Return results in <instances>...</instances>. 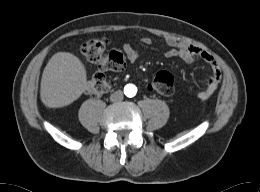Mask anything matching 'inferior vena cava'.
Instances as JSON below:
<instances>
[{
  "mask_svg": "<svg viewBox=\"0 0 260 192\" xmlns=\"http://www.w3.org/2000/svg\"><path fill=\"white\" fill-rule=\"evenodd\" d=\"M110 100L112 102L122 101L123 100V92L121 90L114 92L113 94H111Z\"/></svg>",
  "mask_w": 260,
  "mask_h": 192,
  "instance_id": "602c4592",
  "label": "inferior vena cava"
}]
</instances>
